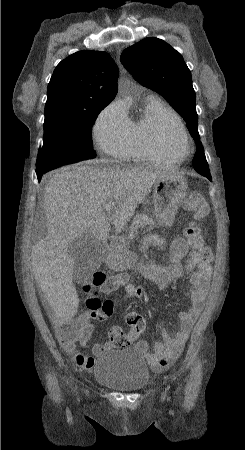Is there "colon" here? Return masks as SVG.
I'll use <instances>...</instances> for the list:
<instances>
[{
  "label": "colon",
  "instance_id": "colon-1",
  "mask_svg": "<svg viewBox=\"0 0 245 450\" xmlns=\"http://www.w3.org/2000/svg\"><path fill=\"white\" fill-rule=\"evenodd\" d=\"M185 207L193 215V221L184 229L187 243L197 253L200 260L209 262L213 255L211 249L204 242L200 226L201 221L209 213V206L201 193L191 191L185 199ZM126 279V276L122 273L107 275L103 272H93L83 287L86 291L99 290L106 293L110 292L116 285L124 283ZM90 307L99 310L103 307V304L93 298L90 300ZM126 323L129 326L128 332H124L120 328H113L110 332V338L117 346L133 344L146 325L143 316L134 311L127 314ZM54 327L62 340L75 342L81 341L91 329L89 322L81 320L54 321ZM80 359L85 361L83 357Z\"/></svg>",
  "mask_w": 245,
  "mask_h": 450
}]
</instances>
